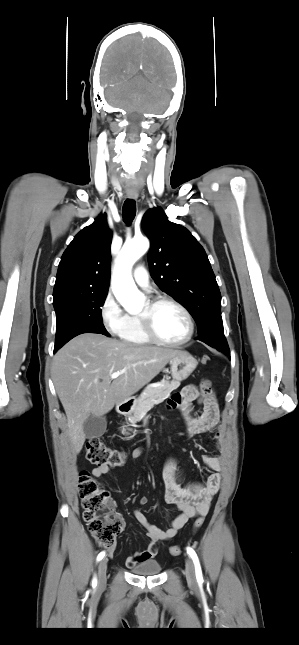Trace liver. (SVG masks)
Wrapping results in <instances>:
<instances>
[{"instance_id": "1", "label": "liver", "mask_w": 299, "mask_h": 645, "mask_svg": "<svg viewBox=\"0 0 299 645\" xmlns=\"http://www.w3.org/2000/svg\"><path fill=\"white\" fill-rule=\"evenodd\" d=\"M182 351L135 345L96 333L69 341L53 358L51 373L67 416L75 453L83 447V424L90 415L108 413L138 392ZM124 371L112 379L114 372Z\"/></svg>"}]
</instances>
